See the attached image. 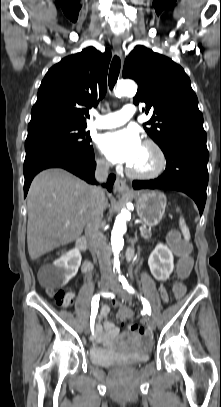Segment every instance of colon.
<instances>
[{
    "instance_id": "obj_1",
    "label": "colon",
    "mask_w": 221,
    "mask_h": 407,
    "mask_svg": "<svg viewBox=\"0 0 221 407\" xmlns=\"http://www.w3.org/2000/svg\"><path fill=\"white\" fill-rule=\"evenodd\" d=\"M168 242L174 252L180 256V261L176 266V273L178 279H189L192 273V264L195 263V256L189 255L190 251L193 249V244L191 242H185L178 232H172L168 237ZM40 261H45L41 259ZM38 262V265L40 264ZM188 290L187 282H176L175 285H171V299L172 301H183L184 295ZM48 294L55 299L57 304L61 306H68L73 301V298L66 291H47ZM132 307L130 305H119L117 311L120 316V320L126 322L124 325L129 329L133 330L134 334L143 333L142 327H137L138 323L134 319L132 312ZM128 322V323H127Z\"/></svg>"
}]
</instances>
